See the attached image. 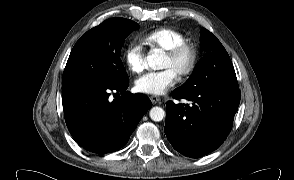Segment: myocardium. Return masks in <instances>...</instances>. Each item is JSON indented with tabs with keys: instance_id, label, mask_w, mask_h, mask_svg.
<instances>
[{
	"instance_id": "myocardium-1",
	"label": "myocardium",
	"mask_w": 294,
	"mask_h": 180,
	"mask_svg": "<svg viewBox=\"0 0 294 180\" xmlns=\"http://www.w3.org/2000/svg\"><path fill=\"white\" fill-rule=\"evenodd\" d=\"M165 55L171 60H177L183 55L187 56V64L177 74L179 77L186 78L194 72L198 61V51L193 44L186 42L180 43L167 50Z\"/></svg>"
}]
</instances>
